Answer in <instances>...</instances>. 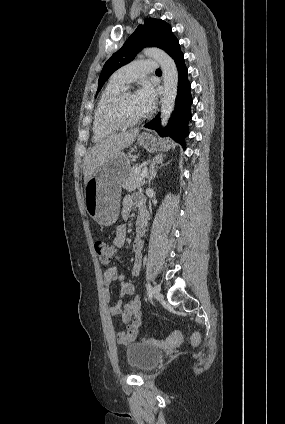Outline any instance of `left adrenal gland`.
I'll use <instances>...</instances> for the list:
<instances>
[{"instance_id": "1", "label": "left adrenal gland", "mask_w": 285, "mask_h": 424, "mask_svg": "<svg viewBox=\"0 0 285 424\" xmlns=\"http://www.w3.org/2000/svg\"><path fill=\"white\" fill-rule=\"evenodd\" d=\"M158 164H160V166H158ZM163 166H164V164H163V156H157V157H155V159L153 160V162L151 164V167H150L149 183H150L151 180H153L155 178V176L157 174V170L160 169Z\"/></svg>"}]
</instances>
